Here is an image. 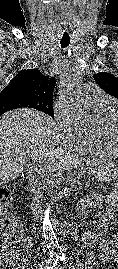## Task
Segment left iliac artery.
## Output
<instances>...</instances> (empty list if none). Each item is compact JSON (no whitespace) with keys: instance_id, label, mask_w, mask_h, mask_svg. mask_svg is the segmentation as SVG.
I'll use <instances>...</instances> for the list:
<instances>
[{"instance_id":"left-iliac-artery-1","label":"left iliac artery","mask_w":118,"mask_h":269,"mask_svg":"<svg viewBox=\"0 0 118 269\" xmlns=\"http://www.w3.org/2000/svg\"><path fill=\"white\" fill-rule=\"evenodd\" d=\"M59 258L63 263H67V257L64 254H60Z\"/></svg>"}]
</instances>
